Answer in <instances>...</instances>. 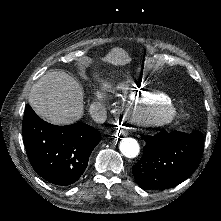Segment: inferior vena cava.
Returning a JSON list of instances; mask_svg holds the SVG:
<instances>
[{"instance_id": "1", "label": "inferior vena cava", "mask_w": 221, "mask_h": 221, "mask_svg": "<svg viewBox=\"0 0 221 221\" xmlns=\"http://www.w3.org/2000/svg\"><path fill=\"white\" fill-rule=\"evenodd\" d=\"M97 120L99 123H104L107 119V111L106 108L102 105H98V110H97Z\"/></svg>"}]
</instances>
